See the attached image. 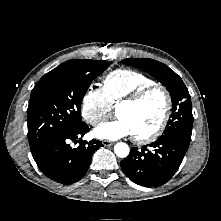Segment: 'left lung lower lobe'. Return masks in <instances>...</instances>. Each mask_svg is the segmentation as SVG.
Instances as JSON below:
<instances>
[{"mask_svg": "<svg viewBox=\"0 0 221 221\" xmlns=\"http://www.w3.org/2000/svg\"><path fill=\"white\" fill-rule=\"evenodd\" d=\"M189 144L178 137L161 136L141 149L133 147L120 165L126 176L138 185L160 186L178 170Z\"/></svg>", "mask_w": 221, "mask_h": 221, "instance_id": "left-lung-lower-lobe-1", "label": "left lung lower lobe"}]
</instances>
